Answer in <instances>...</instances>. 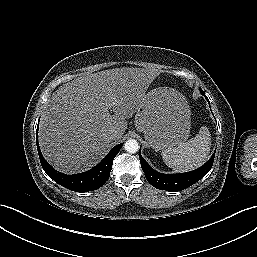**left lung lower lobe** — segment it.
<instances>
[{
	"instance_id": "left-lung-lower-lobe-1",
	"label": "left lung lower lobe",
	"mask_w": 257,
	"mask_h": 257,
	"mask_svg": "<svg viewBox=\"0 0 257 257\" xmlns=\"http://www.w3.org/2000/svg\"><path fill=\"white\" fill-rule=\"evenodd\" d=\"M201 94L205 96V98L209 103L208 98L206 97L205 93L202 90H201ZM139 157H140L141 167L145 173L146 179L152 186L161 190L177 192L193 185L201 178H203L210 171L213 165L215 152L203 166L199 167L196 170L186 172V173H181V174L159 173L153 170L149 166V164L141 156L140 151H139Z\"/></svg>"
}]
</instances>
